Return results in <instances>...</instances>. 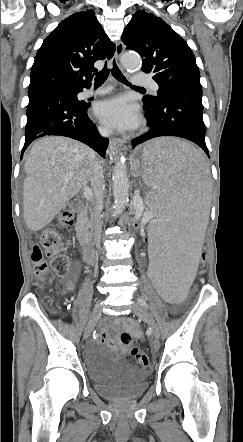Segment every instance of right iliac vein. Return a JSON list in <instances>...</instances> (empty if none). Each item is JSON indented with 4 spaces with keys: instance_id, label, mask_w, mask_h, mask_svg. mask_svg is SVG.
<instances>
[{
    "instance_id": "obj_1",
    "label": "right iliac vein",
    "mask_w": 243,
    "mask_h": 442,
    "mask_svg": "<svg viewBox=\"0 0 243 442\" xmlns=\"http://www.w3.org/2000/svg\"><path fill=\"white\" fill-rule=\"evenodd\" d=\"M101 310H102V304L99 301L98 303L95 304L93 311H92L91 318L88 321L86 328L84 330V339H88L89 336L91 335L97 320L101 316Z\"/></svg>"
}]
</instances>
